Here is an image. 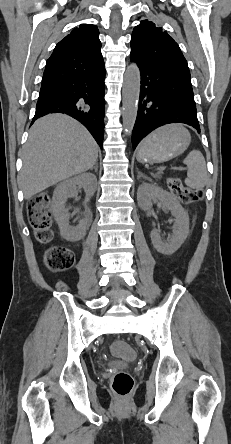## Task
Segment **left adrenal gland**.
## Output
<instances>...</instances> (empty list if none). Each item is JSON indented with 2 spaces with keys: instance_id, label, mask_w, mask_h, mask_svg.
Masks as SVG:
<instances>
[{
  "instance_id": "obj_1",
  "label": "left adrenal gland",
  "mask_w": 231,
  "mask_h": 444,
  "mask_svg": "<svg viewBox=\"0 0 231 444\" xmlns=\"http://www.w3.org/2000/svg\"><path fill=\"white\" fill-rule=\"evenodd\" d=\"M141 177H143V178H145V179H148L143 173H141V172L138 171V176H137V178H141Z\"/></svg>"
}]
</instances>
